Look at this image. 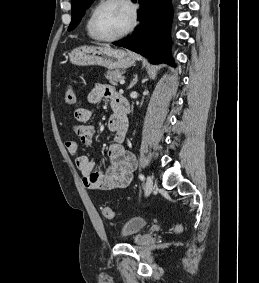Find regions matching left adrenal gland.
<instances>
[{
	"label": "left adrenal gland",
	"instance_id": "obj_1",
	"mask_svg": "<svg viewBox=\"0 0 259 283\" xmlns=\"http://www.w3.org/2000/svg\"><path fill=\"white\" fill-rule=\"evenodd\" d=\"M137 82H138V77H137V74H135L133 80L131 81L130 85L128 86V89H131Z\"/></svg>",
	"mask_w": 259,
	"mask_h": 283
}]
</instances>
